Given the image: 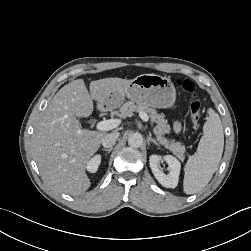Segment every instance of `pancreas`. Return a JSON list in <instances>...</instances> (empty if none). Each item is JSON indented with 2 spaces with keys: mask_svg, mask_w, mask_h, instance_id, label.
<instances>
[{
  "mask_svg": "<svg viewBox=\"0 0 251 251\" xmlns=\"http://www.w3.org/2000/svg\"><path fill=\"white\" fill-rule=\"evenodd\" d=\"M133 112H145L149 113L151 118V124L157 123L153 128V132L156 135L157 140L165 148L169 149L174 155H176L180 160H184L185 156V146L182 143L175 141L174 139L168 140L164 137L165 133H170V126L167 124V121L164 119L163 114H159L155 109L149 108L144 105H137L131 101L125 102L123 106L120 107L119 115L122 118L130 116Z\"/></svg>",
  "mask_w": 251,
  "mask_h": 251,
  "instance_id": "obj_1",
  "label": "pancreas"
}]
</instances>
